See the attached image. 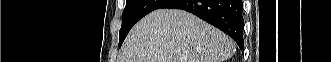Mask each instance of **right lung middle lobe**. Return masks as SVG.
Masks as SVG:
<instances>
[{
  "mask_svg": "<svg viewBox=\"0 0 331 62\" xmlns=\"http://www.w3.org/2000/svg\"><path fill=\"white\" fill-rule=\"evenodd\" d=\"M172 0H126L122 14V26L119 31V47L122 45L130 29L142 17L153 10L163 8Z\"/></svg>",
  "mask_w": 331,
  "mask_h": 62,
  "instance_id": "dd1d6c3e",
  "label": "right lung middle lobe"
}]
</instances>
